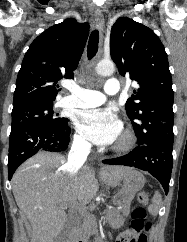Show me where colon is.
Here are the masks:
<instances>
[{
  "mask_svg": "<svg viewBox=\"0 0 187 242\" xmlns=\"http://www.w3.org/2000/svg\"><path fill=\"white\" fill-rule=\"evenodd\" d=\"M149 197L146 191H142L137 195L138 205L132 213V219L129 229L132 232L130 238L126 242H147L148 234L151 229V223L146 220V206Z\"/></svg>",
  "mask_w": 187,
  "mask_h": 242,
  "instance_id": "5ec220e1",
  "label": "colon"
}]
</instances>
